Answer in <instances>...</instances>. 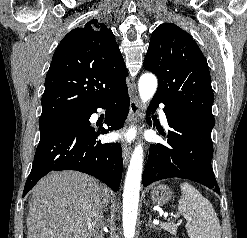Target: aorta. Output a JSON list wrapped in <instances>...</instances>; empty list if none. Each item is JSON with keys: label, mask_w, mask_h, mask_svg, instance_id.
<instances>
[{"label": "aorta", "mask_w": 247, "mask_h": 238, "mask_svg": "<svg viewBox=\"0 0 247 238\" xmlns=\"http://www.w3.org/2000/svg\"><path fill=\"white\" fill-rule=\"evenodd\" d=\"M157 85V79L151 73H145L140 77L138 90L143 104L148 103L154 96ZM142 168L143 147L139 144L131 156L124 185L122 220L125 238H133L135 234Z\"/></svg>", "instance_id": "1"}]
</instances>
